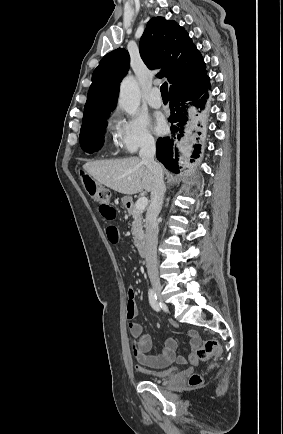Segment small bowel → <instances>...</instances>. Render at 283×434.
Instances as JSON below:
<instances>
[{"mask_svg": "<svg viewBox=\"0 0 283 434\" xmlns=\"http://www.w3.org/2000/svg\"><path fill=\"white\" fill-rule=\"evenodd\" d=\"M99 212L100 215L107 221H113L117 216V210L110 203L100 205ZM106 234L109 242H118L119 231L115 226H109L106 230ZM127 298L126 313L132 339L133 354L141 365L138 367L139 370H143V366L151 368H165L172 363L185 364L187 361H189L191 364H197L199 362V359L196 355V350L199 348L201 338L195 330H189L187 332L189 344L192 349L188 360L184 356L176 354L177 342L173 338H169L164 342L163 349L160 353H153L151 350L152 343L150 336L144 333L142 326L135 321L137 316V305L135 302V292L133 288H129L127 292ZM171 325L174 328L178 327L177 323L174 321H171Z\"/></svg>", "mask_w": 283, "mask_h": 434, "instance_id": "1", "label": "small bowel"}]
</instances>
